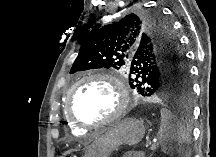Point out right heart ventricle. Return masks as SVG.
Masks as SVG:
<instances>
[{
    "mask_svg": "<svg viewBox=\"0 0 216 157\" xmlns=\"http://www.w3.org/2000/svg\"><path fill=\"white\" fill-rule=\"evenodd\" d=\"M69 127H70L71 131L74 133H80L83 131V128L77 126L76 124L72 123L71 121H69Z\"/></svg>",
    "mask_w": 216,
    "mask_h": 157,
    "instance_id": "1",
    "label": "right heart ventricle"
}]
</instances>
